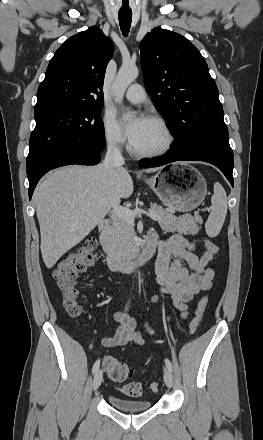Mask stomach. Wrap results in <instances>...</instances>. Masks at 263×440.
Wrapping results in <instances>:
<instances>
[{"label":"stomach","instance_id":"stomach-1","mask_svg":"<svg viewBox=\"0 0 263 440\" xmlns=\"http://www.w3.org/2000/svg\"><path fill=\"white\" fill-rule=\"evenodd\" d=\"M146 183L165 206L178 212H189L197 208L207 194L204 177L191 166H173L170 171L158 173Z\"/></svg>","mask_w":263,"mask_h":440}]
</instances>
